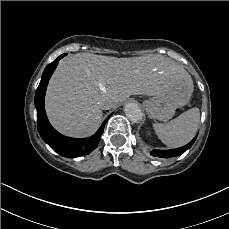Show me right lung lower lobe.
<instances>
[{
  "label": "right lung lower lobe",
  "mask_w": 229,
  "mask_h": 229,
  "mask_svg": "<svg viewBox=\"0 0 229 229\" xmlns=\"http://www.w3.org/2000/svg\"><path fill=\"white\" fill-rule=\"evenodd\" d=\"M65 55L66 54L59 56L54 62L50 63L45 68L41 77L40 84L36 90L35 107L37 110V128L43 141L47 143L59 155L73 158L87 155L96 148L103 133L104 126L112 114L107 117L98 131L92 137L85 139L66 137L57 132L51 126L44 109L45 92L49 79L57 67L59 60L62 59Z\"/></svg>",
  "instance_id": "right-lung-lower-lobe-1"
}]
</instances>
